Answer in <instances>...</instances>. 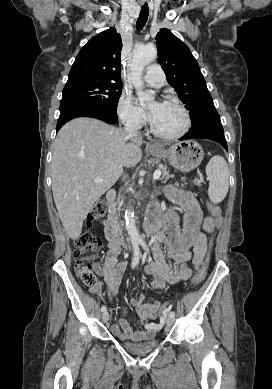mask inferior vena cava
I'll use <instances>...</instances> for the list:
<instances>
[{
  "mask_svg": "<svg viewBox=\"0 0 272 389\" xmlns=\"http://www.w3.org/2000/svg\"><path fill=\"white\" fill-rule=\"evenodd\" d=\"M124 130L130 137H137L138 138L137 128L134 125H132L130 123H126Z\"/></svg>",
  "mask_w": 272,
  "mask_h": 389,
  "instance_id": "inferior-vena-cava-1",
  "label": "inferior vena cava"
}]
</instances>
